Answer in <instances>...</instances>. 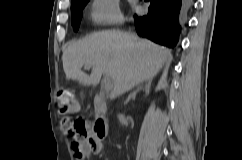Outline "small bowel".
Masks as SVG:
<instances>
[{
	"instance_id": "obj_1",
	"label": "small bowel",
	"mask_w": 242,
	"mask_h": 160,
	"mask_svg": "<svg viewBox=\"0 0 242 160\" xmlns=\"http://www.w3.org/2000/svg\"><path fill=\"white\" fill-rule=\"evenodd\" d=\"M78 110V108H76ZM96 141L91 133L90 126L86 123V135L78 140V147H74L78 156L82 158L87 156L92 150V143ZM101 148V146H100Z\"/></svg>"
}]
</instances>
